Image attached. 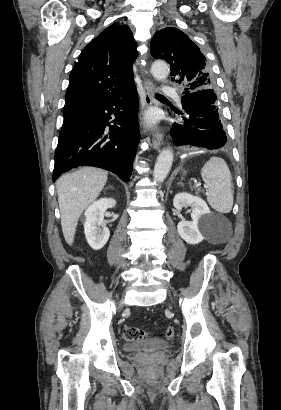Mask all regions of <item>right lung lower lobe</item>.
Instances as JSON below:
<instances>
[{"label":"right lung lower lobe","mask_w":281,"mask_h":410,"mask_svg":"<svg viewBox=\"0 0 281 410\" xmlns=\"http://www.w3.org/2000/svg\"><path fill=\"white\" fill-rule=\"evenodd\" d=\"M135 85L101 99L63 122L55 152L53 181L79 166L100 167L129 181L139 142ZM115 117L111 125L108 121Z\"/></svg>","instance_id":"1"}]
</instances>
